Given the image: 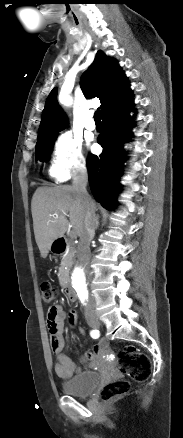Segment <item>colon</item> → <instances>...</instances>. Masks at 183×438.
<instances>
[{
    "label": "colon",
    "mask_w": 183,
    "mask_h": 438,
    "mask_svg": "<svg viewBox=\"0 0 183 438\" xmlns=\"http://www.w3.org/2000/svg\"><path fill=\"white\" fill-rule=\"evenodd\" d=\"M42 301L51 304L56 296V289L50 282L40 285ZM117 369L128 375L135 381H145L151 373V362L147 355L141 353L133 346H125L118 353L116 361ZM130 389V383L125 379H117L106 384L100 391V397L104 401H111L126 394Z\"/></svg>",
    "instance_id": "colon-1"
}]
</instances>
